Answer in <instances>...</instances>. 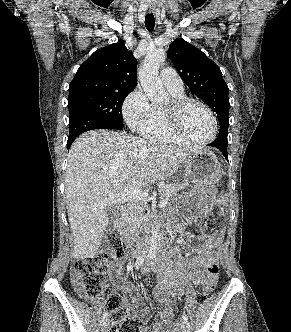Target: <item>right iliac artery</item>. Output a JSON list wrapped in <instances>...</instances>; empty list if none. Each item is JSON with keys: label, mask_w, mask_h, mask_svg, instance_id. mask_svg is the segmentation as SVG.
I'll list each match as a JSON object with an SVG mask.
<instances>
[{"label": "right iliac artery", "mask_w": 291, "mask_h": 332, "mask_svg": "<svg viewBox=\"0 0 291 332\" xmlns=\"http://www.w3.org/2000/svg\"><path fill=\"white\" fill-rule=\"evenodd\" d=\"M143 262H144V257L137 258L136 263H135V268L138 269L139 267H141ZM107 317H108V312H105L103 314V318H107Z\"/></svg>", "instance_id": "right-iliac-artery-1"}]
</instances>
